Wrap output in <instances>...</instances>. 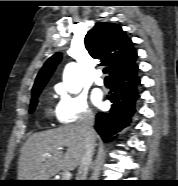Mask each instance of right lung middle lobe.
Segmentation results:
<instances>
[{
  "label": "right lung middle lobe",
  "instance_id": "right-lung-middle-lobe-1",
  "mask_svg": "<svg viewBox=\"0 0 178 186\" xmlns=\"http://www.w3.org/2000/svg\"><path fill=\"white\" fill-rule=\"evenodd\" d=\"M40 92L41 91H38V92L32 94V99H31V104H30V110H29L30 113H32L35 110V107H36V105L38 103V99L37 98H38Z\"/></svg>",
  "mask_w": 178,
  "mask_h": 186
}]
</instances>
